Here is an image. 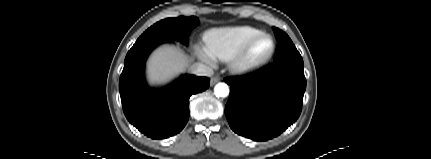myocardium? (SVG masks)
<instances>
[{"instance_id":"f54148a6","label":"myocardium","mask_w":431,"mask_h":159,"mask_svg":"<svg viewBox=\"0 0 431 159\" xmlns=\"http://www.w3.org/2000/svg\"><path fill=\"white\" fill-rule=\"evenodd\" d=\"M260 39H268L270 41L269 49L258 57H252L251 51L254 45ZM274 38L266 33L260 32L249 38L229 59L230 68L236 73H245L264 65L274 54L275 51Z\"/></svg>"}]
</instances>
